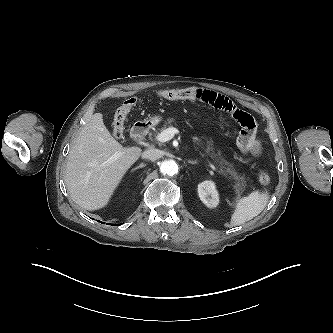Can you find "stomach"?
<instances>
[{
	"mask_svg": "<svg viewBox=\"0 0 333 333\" xmlns=\"http://www.w3.org/2000/svg\"><path fill=\"white\" fill-rule=\"evenodd\" d=\"M161 119H162V117L160 115H154L148 119V122L153 125H156L161 121Z\"/></svg>",
	"mask_w": 333,
	"mask_h": 333,
	"instance_id": "obj_1",
	"label": "stomach"
}]
</instances>
